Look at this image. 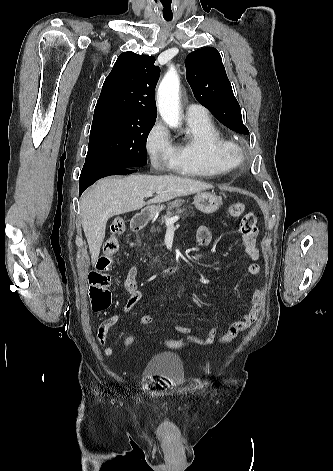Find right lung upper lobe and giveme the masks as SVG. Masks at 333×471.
I'll list each match as a JSON object with an SVG mask.
<instances>
[{
	"label": "right lung upper lobe",
	"mask_w": 333,
	"mask_h": 471,
	"mask_svg": "<svg viewBox=\"0 0 333 471\" xmlns=\"http://www.w3.org/2000/svg\"><path fill=\"white\" fill-rule=\"evenodd\" d=\"M155 58L124 52L119 55L104 81L94 117L122 115L138 119H155V87L160 69Z\"/></svg>",
	"instance_id": "1"
}]
</instances>
